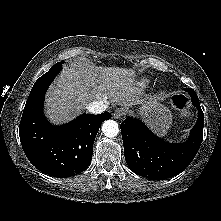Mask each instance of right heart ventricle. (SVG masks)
Segmentation results:
<instances>
[{
    "label": "right heart ventricle",
    "instance_id": "e07e8e85",
    "mask_svg": "<svg viewBox=\"0 0 221 221\" xmlns=\"http://www.w3.org/2000/svg\"><path fill=\"white\" fill-rule=\"evenodd\" d=\"M140 86H144L145 85V81H142L139 83Z\"/></svg>",
    "mask_w": 221,
    "mask_h": 221
}]
</instances>
